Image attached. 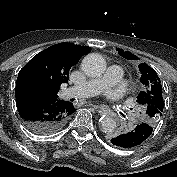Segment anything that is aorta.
<instances>
[{"label":"aorta","mask_w":177,"mask_h":177,"mask_svg":"<svg viewBox=\"0 0 177 177\" xmlns=\"http://www.w3.org/2000/svg\"><path fill=\"white\" fill-rule=\"evenodd\" d=\"M84 73L91 77L102 75L106 70V61L98 53H90L84 57L81 63ZM101 129L105 133H112L116 129V121L111 116L101 118Z\"/></svg>","instance_id":"aorta-1"}]
</instances>
